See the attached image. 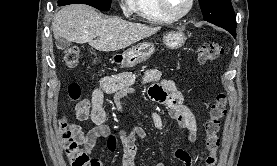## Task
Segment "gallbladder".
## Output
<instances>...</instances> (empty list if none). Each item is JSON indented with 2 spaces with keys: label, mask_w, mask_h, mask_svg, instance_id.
Returning <instances> with one entry per match:
<instances>
[{
  "label": "gallbladder",
  "mask_w": 277,
  "mask_h": 166,
  "mask_svg": "<svg viewBox=\"0 0 277 166\" xmlns=\"http://www.w3.org/2000/svg\"><path fill=\"white\" fill-rule=\"evenodd\" d=\"M56 46L61 50H65V49H68L71 46V42L64 39V38H59L56 41Z\"/></svg>",
  "instance_id": "bac80fb5"
}]
</instances>
